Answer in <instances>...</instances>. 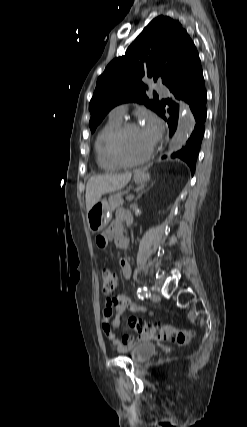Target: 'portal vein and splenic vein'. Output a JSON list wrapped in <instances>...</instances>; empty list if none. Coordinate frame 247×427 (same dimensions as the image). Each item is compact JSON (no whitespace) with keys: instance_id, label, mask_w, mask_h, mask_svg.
<instances>
[{"instance_id":"portal-vein-and-splenic-vein-1","label":"portal vein and splenic vein","mask_w":247,"mask_h":427,"mask_svg":"<svg viewBox=\"0 0 247 427\" xmlns=\"http://www.w3.org/2000/svg\"><path fill=\"white\" fill-rule=\"evenodd\" d=\"M134 198V195L130 194L126 197L127 200L131 201Z\"/></svg>"}]
</instances>
